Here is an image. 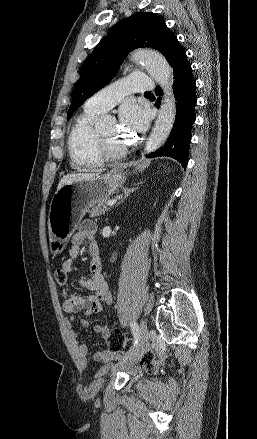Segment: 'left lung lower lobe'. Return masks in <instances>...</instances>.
<instances>
[{
	"label": "left lung lower lobe",
	"instance_id": "obj_1",
	"mask_svg": "<svg viewBox=\"0 0 257 439\" xmlns=\"http://www.w3.org/2000/svg\"><path fill=\"white\" fill-rule=\"evenodd\" d=\"M167 61L173 68L174 74V96L176 103L175 123L164 146L149 155L148 158L168 156L179 161L185 168L188 163L189 144L191 139V128L195 122L194 108L197 102L195 92V79L192 69L187 61L186 52L176 39L172 46ZM162 90L157 87V95ZM160 99L156 102L159 108Z\"/></svg>",
	"mask_w": 257,
	"mask_h": 439
}]
</instances>
